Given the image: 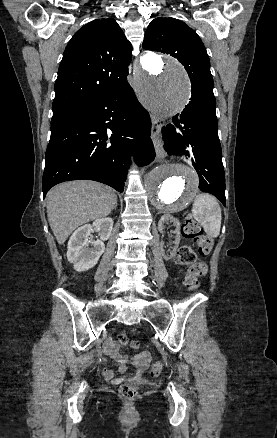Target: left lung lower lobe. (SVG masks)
Wrapping results in <instances>:
<instances>
[{"label":"left lung lower lobe","mask_w":277,"mask_h":438,"mask_svg":"<svg viewBox=\"0 0 277 438\" xmlns=\"http://www.w3.org/2000/svg\"><path fill=\"white\" fill-rule=\"evenodd\" d=\"M215 109V98L191 100L180 115L173 117L176 127L169 124L162 132L168 154L192 155L199 189L215 195L225 206V174Z\"/></svg>","instance_id":"left-lung-lower-lobe-1"}]
</instances>
